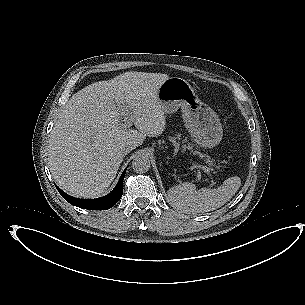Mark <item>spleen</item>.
<instances>
[{"label": "spleen", "instance_id": "spleen-1", "mask_svg": "<svg viewBox=\"0 0 305 305\" xmlns=\"http://www.w3.org/2000/svg\"><path fill=\"white\" fill-rule=\"evenodd\" d=\"M238 181L239 177H232L224 181L218 188H202L196 190L195 185L185 182L172 187L168 191V198L173 207L185 213H204L213 211L226 204L234 192L229 189L231 180Z\"/></svg>", "mask_w": 305, "mask_h": 305}]
</instances>
